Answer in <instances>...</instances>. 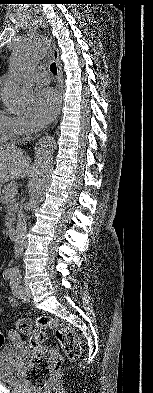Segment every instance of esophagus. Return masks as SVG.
I'll return each instance as SVG.
<instances>
[{
  "instance_id": "1",
  "label": "esophagus",
  "mask_w": 153,
  "mask_h": 393,
  "mask_svg": "<svg viewBox=\"0 0 153 393\" xmlns=\"http://www.w3.org/2000/svg\"><path fill=\"white\" fill-rule=\"evenodd\" d=\"M52 58L56 63L57 66V81L60 90V106L62 104V97H63V75H62V68L59 60V53L55 46H53L52 50Z\"/></svg>"
}]
</instances>
